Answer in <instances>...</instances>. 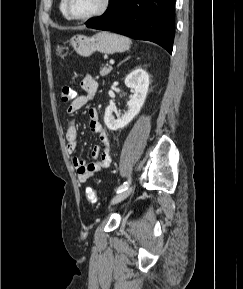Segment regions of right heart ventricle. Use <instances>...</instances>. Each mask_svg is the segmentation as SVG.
Here are the masks:
<instances>
[{
  "label": "right heart ventricle",
  "instance_id": "obj_1",
  "mask_svg": "<svg viewBox=\"0 0 243 289\" xmlns=\"http://www.w3.org/2000/svg\"><path fill=\"white\" fill-rule=\"evenodd\" d=\"M59 9H60V12L62 13V15L68 19V16L65 12V1L64 0H60Z\"/></svg>",
  "mask_w": 243,
  "mask_h": 289
}]
</instances>
